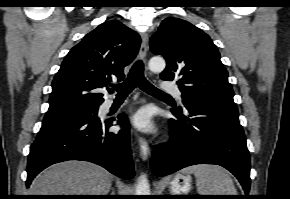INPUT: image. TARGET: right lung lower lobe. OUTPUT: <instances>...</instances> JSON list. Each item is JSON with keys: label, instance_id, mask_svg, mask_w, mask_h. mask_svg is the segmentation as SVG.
I'll return each instance as SVG.
<instances>
[{"label": "right lung lower lobe", "instance_id": "right-lung-lower-lobe-1", "mask_svg": "<svg viewBox=\"0 0 290 199\" xmlns=\"http://www.w3.org/2000/svg\"><path fill=\"white\" fill-rule=\"evenodd\" d=\"M118 119L124 125L117 133L108 131L115 119L89 116L43 121L28 155L26 186L46 167L66 160L93 162L118 177L133 178L129 125L124 114Z\"/></svg>", "mask_w": 290, "mask_h": 199}]
</instances>
